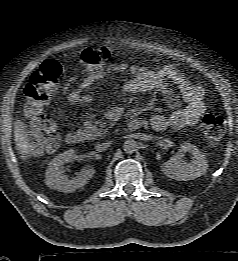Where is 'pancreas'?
<instances>
[{
	"instance_id": "pancreas-1",
	"label": "pancreas",
	"mask_w": 238,
	"mask_h": 261,
	"mask_svg": "<svg viewBox=\"0 0 238 261\" xmlns=\"http://www.w3.org/2000/svg\"><path fill=\"white\" fill-rule=\"evenodd\" d=\"M107 126H113V123L107 124V122L103 120H89L84 122L83 131L88 139L93 140L106 134L108 131Z\"/></svg>"
}]
</instances>
